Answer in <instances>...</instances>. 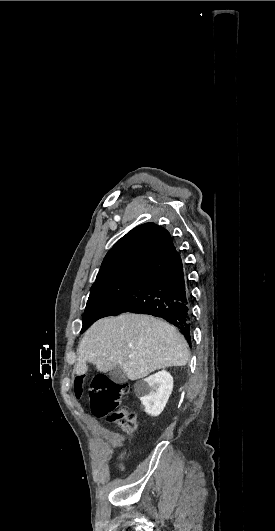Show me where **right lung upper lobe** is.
I'll return each instance as SVG.
<instances>
[{
    "label": "right lung upper lobe",
    "instance_id": "cb5924a9",
    "mask_svg": "<svg viewBox=\"0 0 275 531\" xmlns=\"http://www.w3.org/2000/svg\"><path fill=\"white\" fill-rule=\"evenodd\" d=\"M171 243L166 229L154 223L137 226L108 251L96 279L126 268L147 266Z\"/></svg>",
    "mask_w": 275,
    "mask_h": 531
}]
</instances>
